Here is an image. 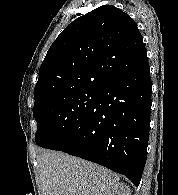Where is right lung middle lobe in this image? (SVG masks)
Masks as SVG:
<instances>
[{
    "label": "right lung middle lobe",
    "instance_id": "1",
    "mask_svg": "<svg viewBox=\"0 0 178 195\" xmlns=\"http://www.w3.org/2000/svg\"><path fill=\"white\" fill-rule=\"evenodd\" d=\"M97 90H78L45 100L33 108L37 121L36 144L54 149L67 132L91 109Z\"/></svg>",
    "mask_w": 178,
    "mask_h": 195
}]
</instances>
